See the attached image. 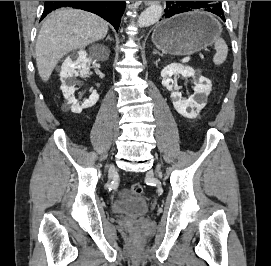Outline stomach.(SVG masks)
<instances>
[{
    "label": "stomach",
    "instance_id": "stomach-1",
    "mask_svg": "<svg viewBox=\"0 0 271 266\" xmlns=\"http://www.w3.org/2000/svg\"><path fill=\"white\" fill-rule=\"evenodd\" d=\"M220 32L219 23L210 14L192 11L157 24L152 41L164 53L190 55L211 45Z\"/></svg>",
    "mask_w": 271,
    "mask_h": 266
}]
</instances>
